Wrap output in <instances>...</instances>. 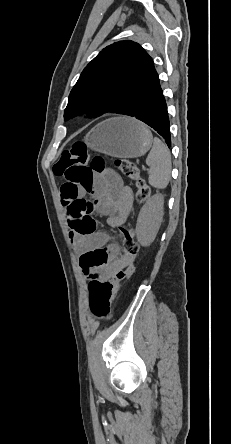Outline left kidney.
I'll return each instance as SVG.
<instances>
[{"label": "left kidney", "mask_w": 231, "mask_h": 444, "mask_svg": "<svg viewBox=\"0 0 231 444\" xmlns=\"http://www.w3.org/2000/svg\"><path fill=\"white\" fill-rule=\"evenodd\" d=\"M164 196H152L141 208L136 224V236L142 246H149L157 235L163 218Z\"/></svg>", "instance_id": "5707ae66"}]
</instances>
